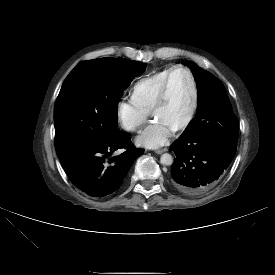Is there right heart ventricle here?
Returning a JSON list of instances; mask_svg holds the SVG:
<instances>
[{
    "instance_id": "1",
    "label": "right heart ventricle",
    "mask_w": 275,
    "mask_h": 275,
    "mask_svg": "<svg viewBox=\"0 0 275 275\" xmlns=\"http://www.w3.org/2000/svg\"><path fill=\"white\" fill-rule=\"evenodd\" d=\"M170 69L159 70L138 80L132 87L131 99L141 108L151 111Z\"/></svg>"
}]
</instances>
